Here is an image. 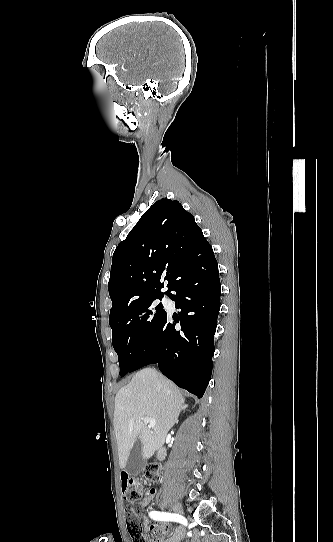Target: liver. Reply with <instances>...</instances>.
<instances>
[{"label":"liver","instance_id":"1","mask_svg":"<svg viewBox=\"0 0 333 542\" xmlns=\"http://www.w3.org/2000/svg\"><path fill=\"white\" fill-rule=\"evenodd\" d=\"M184 398L177 386L153 368H144L130 384L116 394L114 432L119 466L126 468L129 454L138 438L143 458L148 460L165 444L166 436L184 410ZM141 418H154L156 426H146Z\"/></svg>","mask_w":333,"mask_h":542}]
</instances>
